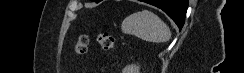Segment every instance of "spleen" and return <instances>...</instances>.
Instances as JSON below:
<instances>
[{
	"label": "spleen",
	"mask_w": 244,
	"mask_h": 73,
	"mask_svg": "<svg viewBox=\"0 0 244 73\" xmlns=\"http://www.w3.org/2000/svg\"><path fill=\"white\" fill-rule=\"evenodd\" d=\"M122 32L144 41L164 43L171 38L170 28L156 14L148 10L133 13L121 25Z\"/></svg>",
	"instance_id": "3e777b00"
}]
</instances>
